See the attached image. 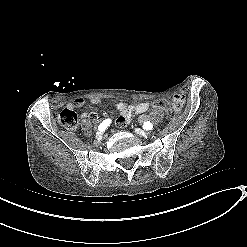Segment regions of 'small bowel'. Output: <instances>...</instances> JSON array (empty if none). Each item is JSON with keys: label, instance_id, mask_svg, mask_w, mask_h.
Here are the masks:
<instances>
[{"label": "small bowel", "instance_id": "1", "mask_svg": "<svg viewBox=\"0 0 247 247\" xmlns=\"http://www.w3.org/2000/svg\"><path fill=\"white\" fill-rule=\"evenodd\" d=\"M91 103L94 105H97L100 103V99L99 98H92L91 99ZM173 103L175 105H180L182 106V104L184 103V97L182 95H176L173 99ZM85 104V100L83 98H77L74 100L73 103H70L68 105L69 108H73V107H81ZM150 108V104L147 102H142L136 105H129L126 103H118L116 106V109L118 110V112L120 113L118 119H117V124L120 127H124L128 124L130 117L132 116V114H139L142 115L141 116V120H146V119H154L158 116V112H153L150 115H143L145 114ZM82 118H88L89 115L87 113H82ZM92 118H95L94 115L91 116Z\"/></svg>", "mask_w": 247, "mask_h": 247}]
</instances>
